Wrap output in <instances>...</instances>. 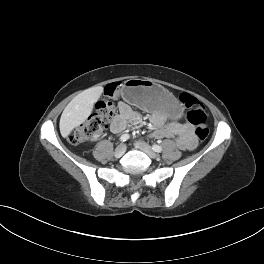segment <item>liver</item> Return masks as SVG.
Returning <instances> with one entry per match:
<instances>
[{
	"label": "liver",
	"mask_w": 264,
	"mask_h": 264,
	"mask_svg": "<svg viewBox=\"0 0 264 264\" xmlns=\"http://www.w3.org/2000/svg\"><path fill=\"white\" fill-rule=\"evenodd\" d=\"M102 92V86H94L84 90L68 103L59 123L60 133L64 138L92 113L93 105L100 98Z\"/></svg>",
	"instance_id": "1"
}]
</instances>
